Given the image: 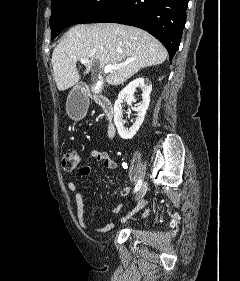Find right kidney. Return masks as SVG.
I'll return each instance as SVG.
<instances>
[{
    "label": "right kidney",
    "instance_id": "right-kidney-1",
    "mask_svg": "<svg viewBox=\"0 0 240 281\" xmlns=\"http://www.w3.org/2000/svg\"><path fill=\"white\" fill-rule=\"evenodd\" d=\"M136 88H140L142 90V102L138 107H132V109L137 112V117L134 124L130 128H125L123 120V103L126 102L129 105L132 104L134 101V92ZM151 91L152 85L148 81H145L144 78H137L130 82L119 93L114 104V123L117 127L118 134L122 139H132L139 130L149 107Z\"/></svg>",
    "mask_w": 240,
    "mask_h": 281
}]
</instances>
